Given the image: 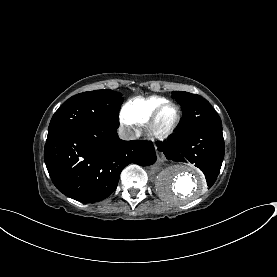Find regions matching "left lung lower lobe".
I'll list each match as a JSON object with an SVG mask.
<instances>
[{
  "label": "left lung lower lobe",
  "mask_w": 277,
  "mask_h": 277,
  "mask_svg": "<svg viewBox=\"0 0 277 277\" xmlns=\"http://www.w3.org/2000/svg\"><path fill=\"white\" fill-rule=\"evenodd\" d=\"M157 146L168 160L195 164L204 173L210 188L217 179L224 158L222 124L178 131L168 140L157 142Z\"/></svg>",
  "instance_id": "left-lung-lower-lobe-1"
}]
</instances>
